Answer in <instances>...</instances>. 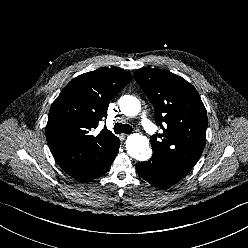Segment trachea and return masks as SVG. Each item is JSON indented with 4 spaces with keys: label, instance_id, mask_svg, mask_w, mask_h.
<instances>
[{
    "label": "trachea",
    "instance_id": "trachea-1",
    "mask_svg": "<svg viewBox=\"0 0 248 248\" xmlns=\"http://www.w3.org/2000/svg\"><path fill=\"white\" fill-rule=\"evenodd\" d=\"M114 132L116 134H121V133H131L133 131L132 126L128 125V124H122V123H116L114 128H113Z\"/></svg>",
    "mask_w": 248,
    "mask_h": 248
}]
</instances>
